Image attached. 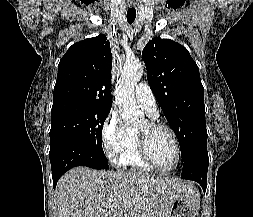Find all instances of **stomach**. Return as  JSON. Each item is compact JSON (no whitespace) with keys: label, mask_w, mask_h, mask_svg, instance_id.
Segmentation results:
<instances>
[{"label":"stomach","mask_w":253,"mask_h":217,"mask_svg":"<svg viewBox=\"0 0 253 217\" xmlns=\"http://www.w3.org/2000/svg\"><path fill=\"white\" fill-rule=\"evenodd\" d=\"M199 201L194 198L175 200L166 217H199Z\"/></svg>","instance_id":"obj_1"}]
</instances>
